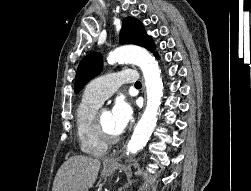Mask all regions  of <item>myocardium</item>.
I'll return each mask as SVG.
<instances>
[{"label":"myocardium","mask_w":251,"mask_h":191,"mask_svg":"<svg viewBox=\"0 0 251 191\" xmlns=\"http://www.w3.org/2000/svg\"><path fill=\"white\" fill-rule=\"evenodd\" d=\"M95 124L99 137L105 144H115L119 140V137L116 134H111L104 128L98 114H95Z\"/></svg>","instance_id":"f54148a6"}]
</instances>
